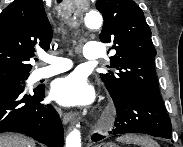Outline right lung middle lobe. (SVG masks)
Returning a JSON list of instances; mask_svg holds the SVG:
<instances>
[{"label":"right lung middle lobe","mask_w":183,"mask_h":147,"mask_svg":"<svg viewBox=\"0 0 183 147\" xmlns=\"http://www.w3.org/2000/svg\"><path fill=\"white\" fill-rule=\"evenodd\" d=\"M28 78L27 77H22V78H17V79H12V80H7V81H3L0 82V85H5V84H10V83H19V84H24L25 80Z\"/></svg>","instance_id":"1"}]
</instances>
